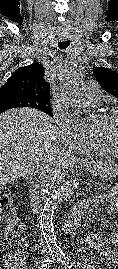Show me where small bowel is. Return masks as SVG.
Wrapping results in <instances>:
<instances>
[{
  "label": "small bowel",
  "instance_id": "small-bowel-1",
  "mask_svg": "<svg viewBox=\"0 0 118 269\" xmlns=\"http://www.w3.org/2000/svg\"><path fill=\"white\" fill-rule=\"evenodd\" d=\"M117 197L118 196L115 195L112 198L107 200L108 212L111 215H115V216L118 215ZM112 243L115 245H118V232L112 235ZM86 244L90 248L102 250L105 261L112 265L118 266V251L115 249H112L111 247H108L100 235L95 234V233L89 234L86 237ZM17 269H28V267L25 264H21L18 266Z\"/></svg>",
  "mask_w": 118,
  "mask_h": 269
}]
</instances>
